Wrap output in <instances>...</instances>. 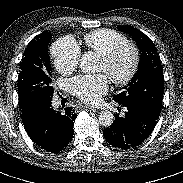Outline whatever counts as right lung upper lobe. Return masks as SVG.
I'll return each mask as SVG.
<instances>
[{"mask_svg":"<svg viewBox=\"0 0 183 183\" xmlns=\"http://www.w3.org/2000/svg\"><path fill=\"white\" fill-rule=\"evenodd\" d=\"M49 32H50V31H44L43 33H41V34H39L38 36H36L35 39H33V40L28 44V46H27L25 52L28 51L29 47H30L31 45H33L34 42L38 41L44 34L49 33ZM50 33H51V32H50Z\"/></svg>","mask_w":183,"mask_h":183,"instance_id":"obj_1","label":"right lung upper lobe"}]
</instances>
